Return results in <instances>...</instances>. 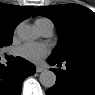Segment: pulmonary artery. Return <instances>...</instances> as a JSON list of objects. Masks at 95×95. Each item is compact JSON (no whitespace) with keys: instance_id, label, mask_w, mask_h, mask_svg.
I'll use <instances>...</instances> for the list:
<instances>
[{"instance_id":"obj_1","label":"pulmonary artery","mask_w":95,"mask_h":95,"mask_svg":"<svg viewBox=\"0 0 95 95\" xmlns=\"http://www.w3.org/2000/svg\"><path fill=\"white\" fill-rule=\"evenodd\" d=\"M39 33L44 36V37H49L53 34V23L52 22H47L43 24H39L36 26Z\"/></svg>"}]
</instances>
